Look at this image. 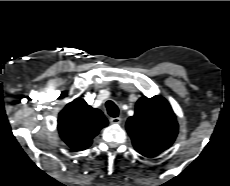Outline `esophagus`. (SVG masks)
Segmentation results:
<instances>
[{
  "instance_id": "1",
  "label": "esophagus",
  "mask_w": 230,
  "mask_h": 186,
  "mask_svg": "<svg viewBox=\"0 0 230 186\" xmlns=\"http://www.w3.org/2000/svg\"><path fill=\"white\" fill-rule=\"evenodd\" d=\"M121 121H122V119L120 117H112V118H110V122L112 124H120Z\"/></svg>"
}]
</instances>
